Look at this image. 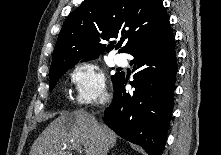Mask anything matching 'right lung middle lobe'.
Returning <instances> with one entry per match:
<instances>
[{"instance_id":"right-lung-middle-lobe-1","label":"right lung middle lobe","mask_w":221,"mask_h":155,"mask_svg":"<svg viewBox=\"0 0 221 155\" xmlns=\"http://www.w3.org/2000/svg\"><path fill=\"white\" fill-rule=\"evenodd\" d=\"M75 64L73 65H66V66H62L59 67L57 69H54L52 71H50V88L49 90H52L54 88V86L56 85V82L59 80V78L71 67H73ZM120 73H116L114 76H112V81L119 75Z\"/></svg>"}]
</instances>
